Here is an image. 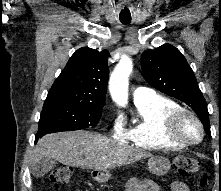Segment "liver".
Wrapping results in <instances>:
<instances>
[{"mask_svg":"<svg viewBox=\"0 0 221 191\" xmlns=\"http://www.w3.org/2000/svg\"><path fill=\"white\" fill-rule=\"evenodd\" d=\"M34 153V164L49 158L67 166L98 171L129 165L152 156L85 130L48 134L38 141Z\"/></svg>","mask_w":221,"mask_h":191,"instance_id":"liver-1","label":"liver"}]
</instances>
